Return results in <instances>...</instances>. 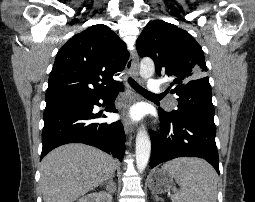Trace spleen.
I'll list each match as a JSON object with an SVG mask.
<instances>
[{"instance_id": "obj_1", "label": "spleen", "mask_w": 255, "mask_h": 202, "mask_svg": "<svg viewBox=\"0 0 255 202\" xmlns=\"http://www.w3.org/2000/svg\"><path fill=\"white\" fill-rule=\"evenodd\" d=\"M178 183L180 191L175 193L172 202H216L217 173L202 159L180 158L162 166Z\"/></svg>"}]
</instances>
